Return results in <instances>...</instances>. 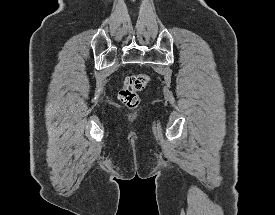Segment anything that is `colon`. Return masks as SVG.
<instances>
[{
    "label": "colon",
    "mask_w": 275,
    "mask_h": 215,
    "mask_svg": "<svg viewBox=\"0 0 275 215\" xmlns=\"http://www.w3.org/2000/svg\"><path fill=\"white\" fill-rule=\"evenodd\" d=\"M149 77L146 74L128 76L119 91L120 101L128 108H136L140 103L139 92L147 87Z\"/></svg>",
    "instance_id": "colon-1"
}]
</instances>
